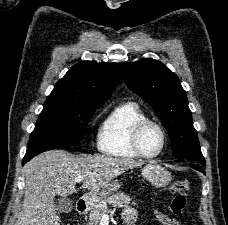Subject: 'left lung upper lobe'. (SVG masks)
<instances>
[{
	"label": "left lung upper lobe",
	"instance_id": "1",
	"mask_svg": "<svg viewBox=\"0 0 228 225\" xmlns=\"http://www.w3.org/2000/svg\"><path fill=\"white\" fill-rule=\"evenodd\" d=\"M121 68L128 88L148 102L163 121L171 139L173 156L205 165L187 95L177 75L151 58L123 63Z\"/></svg>",
	"mask_w": 228,
	"mask_h": 225
}]
</instances>
